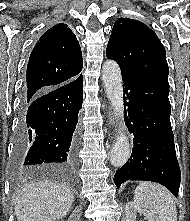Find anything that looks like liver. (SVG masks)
I'll return each mask as SVG.
<instances>
[{"label": "liver", "mask_w": 190, "mask_h": 221, "mask_svg": "<svg viewBox=\"0 0 190 221\" xmlns=\"http://www.w3.org/2000/svg\"><path fill=\"white\" fill-rule=\"evenodd\" d=\"M74 201L70 187L62 183H29L15 196L17 221H56L64 217Z\"/></svg>", "instance_id": "liver-1"}]
</instances>
